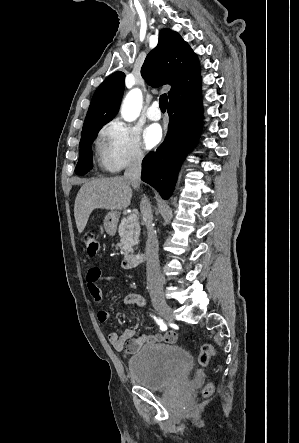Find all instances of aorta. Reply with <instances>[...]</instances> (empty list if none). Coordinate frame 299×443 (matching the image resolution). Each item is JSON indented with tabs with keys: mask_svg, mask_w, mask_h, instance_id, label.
Returning <instances> with one entry per match:
<instances>
[{
	"mask_svg": "<svg viewBox=\"0 0 299 443\" xmlns=\"http://www.w3.org/2000/svg\"><path fill=\"white\" fill-rule=\"evenodd\" d=\"M143 96L140 89H133L126 95L122 108L121 115L125 121L132 122L140 114Z\"/></svg>",
	"mask_w": 299,
	"mask_h": 443,
	"instance_id": "1",
	"label": "aorta"
}]
</instances>
